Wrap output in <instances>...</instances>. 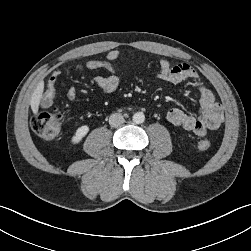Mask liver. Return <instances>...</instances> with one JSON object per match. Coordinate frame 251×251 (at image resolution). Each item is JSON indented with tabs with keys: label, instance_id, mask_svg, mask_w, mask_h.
<instances>
[{
	"label": "liver",
	"instance_id": "obj_1",
	"mask_svg": "<svg viewBox=\"0 0 251 251\" xmlns=\"http://www.w3.org/2000/svg\"><path fill=\"white\" fill-rule=\"evenodd\" d=\"M43 90H44V82L40 81L36 89L34 90L30 100V106L34 114L38 113L39 105L43 95Z\"/></svg>",
	"mask_w": 251,
	"mask_h": 251
}]
</instances>
